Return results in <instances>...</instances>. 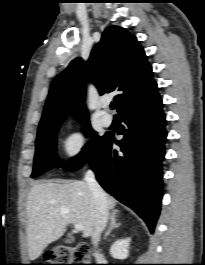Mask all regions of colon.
<instances>
[{"label":"colon","instance_id":"obj_1","mask_svg":"<svg viewBox=\"0 0 205 265\" xmlns=\"http://www.w3.org/2000/svg\"><path fill=\"white\" fill-rule=\"evenodd\" d=\"M45 260L48 264L44 265H91L88 264L90 250L86 244L56 246L46 253Z\"/></svg>","mask_w":205,"mask_h":265}]
</instances>
